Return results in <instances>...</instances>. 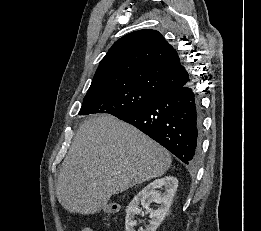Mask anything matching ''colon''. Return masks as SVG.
<instances>
[{
    "label": "colon",
    "mask_w": 261,
    "mask_h": 231,
    "mask_svg": "<svg viewBox=\"0 0 261 231\" xmlns=\"http://www.w3.org/2000/svg\"><path fill=\"white\" fill-rule=\"evenodd\" d=\"M105 214H114L118 211L115 204H108L102 209Z\"/></svg>",
    "instance_id": "5ec220e1"
}]
</instances>
